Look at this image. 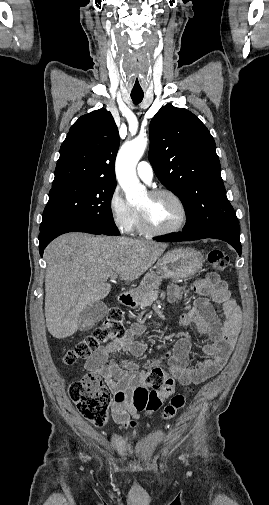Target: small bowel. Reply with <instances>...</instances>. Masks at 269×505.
Wrapping results in <instances>:
<instances>
[{"label":"small bowel","instance_id":"obj_1","mask_svg":"<svg viewBox=\"0 0 269 505\" xmlns=\"http://www.w3.org/2000/svg\"><path fill=\"white\" fill-rule=\"evenodd\" d=\"M191 287L198 298L182 315L181 322L184 326L194 325L200 334L209 336L210 342L202 347L208 359L195 366L188 365L191 343L187 338H180L166 355L170 374L181 385L200 384L215 376L225 366L240 330V308L218 274L208 273L204 278L195 280ZM181 294L178 286L169 289L171 300L179 299ZM218 311L222 313V319L218 317ZM144 330L143 324H132L122 337L101 348L85 363L90 375L104 379L113 395V418L123 428H136L138 425L139 412L133 405L132 394L145 373L131 361H123L121 367L111 360V356L120 351H126L133 357L143 356L145 346L136 342L135 338ZM158 365L159 361L153 363L154 368Z\"/></svg>","mask_w":269,"mask_h":505}]
</instances>
